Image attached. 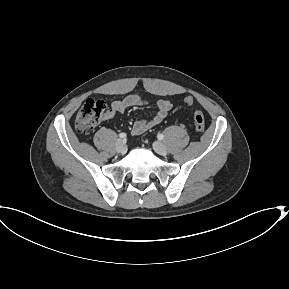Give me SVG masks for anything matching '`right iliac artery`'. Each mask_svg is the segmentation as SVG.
I'll return each mask as SVG.
<instances>
[{"instance_id":"right-iliac-artery-1","label":"right iliac artery","mask_w":289,"mask_h":289,"mask_svg":"<svg viewBox=\"0 0 289 289\" xmlns=\"http://www.w3.org/2000/svg\"><path fill=\"white\" fill-rule=\"evenodd\" d=\"M119 137H120V138H126V134H125V133H120V134H119Z\"/></svg>"}]
</instances>
